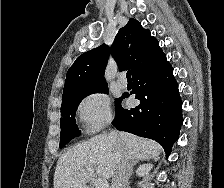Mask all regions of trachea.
Instances as JSON below:
<instances>
[{
  "label": "trachea",
  "mask_w": 224,
  "mask_h": 188,
  "mask_svg": "<svg viewBox=\"0 0 224 188\" xmlns=\"http://www.w3.org/2000/svg\"><path fill=\"white\" fill-rule=\"evenodd\" d=\"M127 79H128V80H131V71H130V70L127 71Z\"/></svg>",
  "instance_id": "trachea-1"
}]
</instances>
